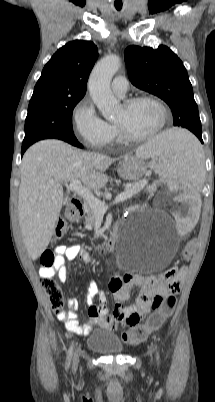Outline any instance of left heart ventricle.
<instances>
[{"instance_id":"obj_1","label":"left heart ventricle","mask_w":215,"mask_h":402,"mask_svg":"<svg viewBox=\"0 0 215 402\" xmlns=\"http://www.w3.org/2000/svg\"><path fill=\"white\" fill-rule=\"evenodd\" d=\"M116 122L135 136H144L153 132L161 122V111L150 101H141L133 106L121 107Z\"/></svg>"}]
</instances>
